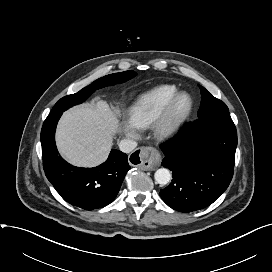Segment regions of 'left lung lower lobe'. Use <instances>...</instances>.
Returning a JSON list of instances; mask_svg holds the SVG:
<instances>
[{
	"instance_id": "left-lung-lower-lobe-1",
	"label": "left lung lower lobe",
	"mask_w": 272,
	"mask_h": 272,
	"mask_svg": "<svg viewBox=\"0 0 272 272\" xmlns=\"http://www.w3.org/2000/svg\"><path fill=\"white\" fill-rule=\"evenodd\" d=\"M237 132L229 112L210 114L186 124L160 146L162 165L172 182L160 191L163 201L180 212L203 209L229 186L235 163Z\"/></svg>"
}]
</instances>
